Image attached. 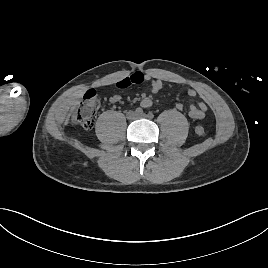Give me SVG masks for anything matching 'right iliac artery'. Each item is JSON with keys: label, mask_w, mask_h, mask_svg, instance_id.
<instances>
[{"label": "right iliac artery", "mask_w": 268, "mask_h": 268, "mask_svg": "<svg viewBox=\"0 0 268 268\" xmlns=\"http://www.w3.org/2000/svg\"><path fill=\"white\" fill-rule=\"evenodd\" d=\"M135 112L137 114H142L143 113V110H142V108L138 107V108H136Z\"/></svg>", "instance_id": "82829eb1"}]
</instances>
